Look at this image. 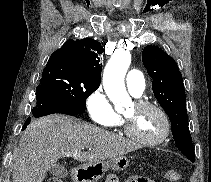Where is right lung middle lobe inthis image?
<instances>
[{
    "label": "right lung middle lobe",
    "mask_w": 211,
    "mask_h": 182,
    "mask_svg": "<svg viewBox=\"0 0 211 182\" xmlns=\"http://www.w3.org/2000/svg\"><path fill=\"white\" fill-rule=\"evenodd\" d=\"M100 84L91 82L57 66L45 68L36 95L52 96L83 113L86 99Z\"/></svg>",
    "instance_id": "1"
}]
</instances>
